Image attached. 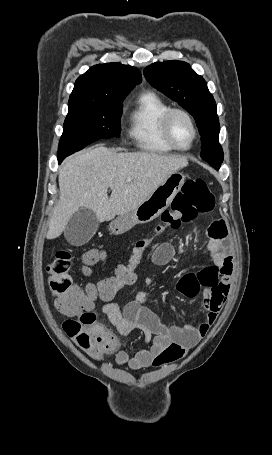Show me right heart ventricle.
I'll return each instance as SVG.
<instances>
[{
  "instance_id": "e07e8e85",
  "label": "right heart ventricle",
  "mask_w": 272,
  "mask_h": 455,
  "mask_svg": "<svg viewBox=\"0 0 272 455\" xmlns=\"http://www.w3.org/2000/svg\"><path fill=\"white\" fill-rule=\"evenodd\" d=\"M169 108V105L153 92H144L138 97L129 115L128 134L139 150L153 154L173 151L161 132V118Z\"/></svg>"
}]
</instances>
